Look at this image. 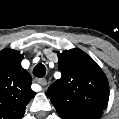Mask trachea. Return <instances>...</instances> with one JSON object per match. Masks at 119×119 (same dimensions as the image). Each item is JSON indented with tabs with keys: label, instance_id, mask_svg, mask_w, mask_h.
I'll list each match as a JSON object with an SVG mask.
<instances>
[{
	"label": "trachea",
	"instance_id": "3493384b",
	"mask_svg": "<svg viewBox=\"0 0 119 119\" xmlns=\"http://www.w3.org/2000/svg\"><path fill=\"white\" fill-rule=\"evenodd\" d=\"M33 74L36 77L42 78L45 76L46 74V68L43 64H38L35 66V68L33 69Z\"/></svg>",
	"mask_w": 119,
	"mask_h": 119
}]
</instances>
